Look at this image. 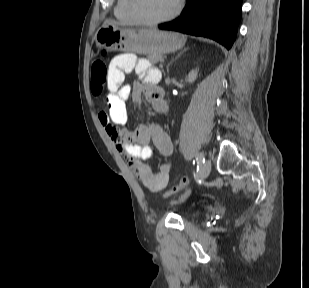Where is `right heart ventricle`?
Instances as JSON below:
<instances>
[{
    "label": "right heart ventricle",
    "mask_w": 309,
    "mask_h": 288,
    "mask_svg": "<svg viewBox=\"0 0 309 288\" xmlns=\"http://www.w3.org/2000/svg\"><path fill=\"white\" fill-rule=\"evenodd\" d=\"M128 0H117L114 7V15L123 24H135V21L130 16L127 8Z\"/></svg>",
    "instance_id": "obj_1"
}]
</instances>
